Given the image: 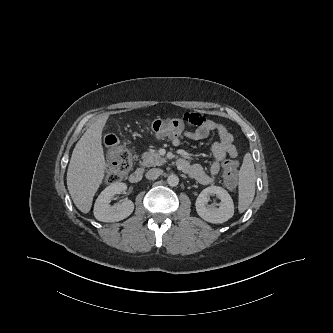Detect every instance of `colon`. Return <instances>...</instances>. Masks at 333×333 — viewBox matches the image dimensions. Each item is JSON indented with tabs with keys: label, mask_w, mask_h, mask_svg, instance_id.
<instances>
[{
	"label": "colon",
	"mask_w": 333,
	"mask_h": 333,
	"mask_svg": "<svg viewBox=\"0 0 333 333\" xmlns=\"http://www.w3.org/2000/svg\"><path fill=\"white\" fill-rule=\"evenodd\" d=\"M190 117L167 118L153 120L149 129L158 137L177 138L186 126H198L201 120L197 114H188ZM104 145L110 165L106 172V179L109 183H117L128 174L132 167L130 150L112 134L104 138ZM223 176L228 187H235L238 180V168L235 160H227L223 166Z\"/></svg>",
	"instance_id": "5ec220e1"
}]
</instances>
